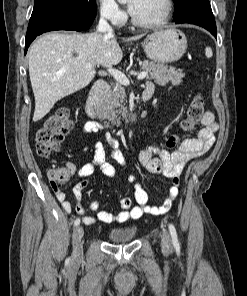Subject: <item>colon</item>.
Masks as SVG:
<instances>
[{
    "instance_id": "5ec220e1",
    "label": "colon",
    "mask_w": 247,
    "mask_h": 296,
    "mask_svg": "<svg viewBox=\"0 0 247 296\" xmlns=\"http://www.w3.org/2000/svg\"><path fill=\"white\" fill-rule=\"evenodd\" d=\"M204 101L199 94H195L186 110L181 128L185 132L194 129L197 122L204 114ZM74 127V120L67 109H59L45 120L43 125L36 132V152L45 159L58 151L62 145L65 135ZM178 144V136L172 135L168 138L166 146L173 149ZM49 177L54 185L65 183L70 178L67 168L54 167L49 171ZM178 182V179L175 180Z\"/></svg>"
}]
</instances>
